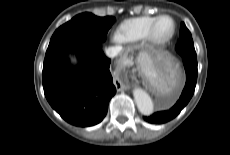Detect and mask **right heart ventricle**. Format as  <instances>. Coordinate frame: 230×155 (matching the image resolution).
Segmentation results:
<instances>
[{"label": "right heart ventricle", "mask_w": 230, "mask_h": 155, "mask_svg": "<svg viewBox=\"0 0 230 155\" xmlns=\"http://www.w3.org/2000/svg\"><path fill=\"white\" fill-rule=\"evenodd\" d=\"M157 16H140L123 21L116 30L120 42L132 43L144 39Z\"/></svg>", "instance_id": "obj_1"}]
</instances>
